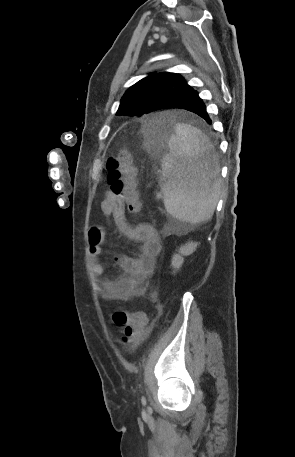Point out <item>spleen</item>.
<instances>
[{"label": "spleen", "mask_w": 295, "mask_h": 457, "mask_svg": "<svg viewBox=\"0 0 295 457\" xmlns=\"http://www.w3.org/2000/svg\"><path fill=\"white\" fill-rule=\"evenodd\" d=\"M210 142L200 130L185 124L175 126L169 152L161 161V192L167 212L182 222L197 224L209 220L221 191L215 160L212 166L204 153Z\"/></svg>", "instance_id": "spleen-1"}]
</instances>
